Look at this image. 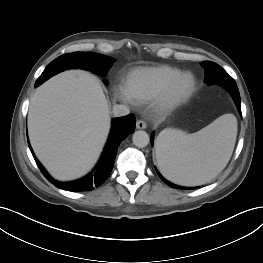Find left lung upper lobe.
Listing matches in <instances>:
<instances>
[{"instance_id": "5c2ea615", "label": "left lung upper lobe", "mask_w": 263, "mask_h": 263, "mask_svg": "<svg viewBox=\"0 0 263 263\" xmlns=\"http://www.w3.org/2000/svg\"><path fill=\"white\" fill-rule=\"evenodd\" d=\"M225 82H235L234 79L221 67L213 77V84H224Z\"/></svg>"}]
</instances>
